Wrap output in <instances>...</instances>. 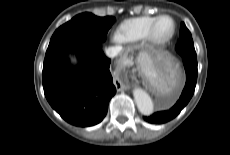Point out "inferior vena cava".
Instances as JSON below:
<instances>
[{"label":"inferior vena cava","mask_w":230,"mask_h":155,"mask_svg":"<svg viewBox=\"0 0 230 155\" xmlns=\"http://www.w3.org/2000/svg\"><path fill=\"white\" fill-rule=\"evenodd\" d=\"M120 52V47L119 46H115V47H108L106 49V55L109 57V58H114L116 57Z\"/></svg>","instance_id":"obj_1"}]
</instances>
